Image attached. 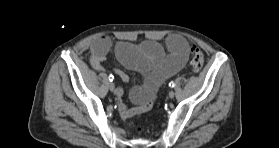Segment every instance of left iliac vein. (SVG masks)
I'll use <instances>...</instances> for the list:
<instances>
[{
	"instance_id": "4c4485c4",
	"label": "left iliac vein",
	"mask_w": 279,
	"mask_h": 148,
	"mask_svg": "<svg viewBox=\"0 0 279 148\" xmlns=\"http://www.w3.org/2000/svg\"><path fill=\"white\" fill-rule=\"evenodd\" d=\"M168 95H169V98L172 99V98H174L175 93L173 90H171Z\"/></svg>"
}]
</instances>
